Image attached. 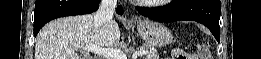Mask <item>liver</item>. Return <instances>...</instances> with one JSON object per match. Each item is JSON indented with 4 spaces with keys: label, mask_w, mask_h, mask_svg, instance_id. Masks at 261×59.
<instances>
[{
    "label": "liver",
    "mask_w": 261,
    "mask_h": 59,
    "mask_svg": "<svg viewBox=\"0 0 261 59\" xmlns=\"http://www.w3.org/2000/svg\"><path fill=\"white\" fill-rule=\"evenodd\" d=\"M120 40L118 24L111 20L94 26V16L65 17L46 24L37 37L35 59H85L77 54L87 45L103 48L117 46Z\"/></svg>",
    "instance_id": "liver-1"
}]
</instances>
